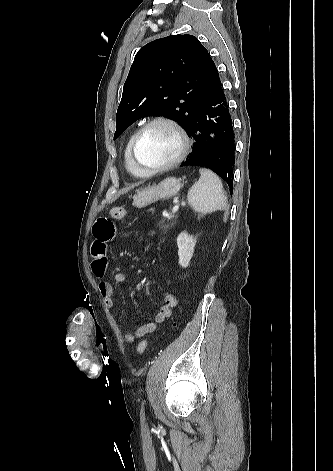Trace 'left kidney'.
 <instances>
[{
	"instance_id": "5707ae66",
	"label": "left kidney",
	"mask_w": 333,
	"mask_h": 471,
	"mask_svg": "<svg viewBox=\"0 0 333 471\" xmlns=\"http://www.w3.org/2000/svg\"><path fill=\"white\" fill-rule=\"evenodd\" d=\"M196 238L188 235L187 232H181L177 237L179 265L183 268L188 267L194 253Z\"/></svg>"
}]
</instances>
